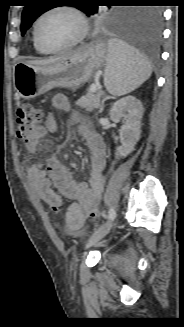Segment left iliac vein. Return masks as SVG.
I'll use <instances>...</instances> for the list:
<instances>
[{
  "mask_svg": "<svg viewBox=\"0 0 184 327\" xmlns=\"http://www.w3.org/2000/svg\"><path fill=\"white\" fill-rule=\"evenodd\" d=\"M113 224H114V222H113V220H111L106 225H104L103 227H101L97 231H95L91 235V237L88 239L85 248L88 249L91 246L98 243L103 237H105L109 233V231L111 230Z\"/></svg>",
  "mask_w": 184,
  "mask_h": 327,
  "instance_id": "left-iliac-vein-1",
  "label": "left iliac vein"
}]
</instances>
